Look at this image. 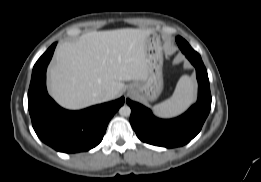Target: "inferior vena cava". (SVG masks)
<instances>
[{
    "mask_svg": "<svg viewBox=\"0 0 261 182\" xmlns=\"http://www.w3.org/2000/svg\"><path fill=\"white\" fill-rule=\"evenodd\" d=\"M110 97H111V93H110V92H106V93H105V98L108 99V98H110Z\"/></svg>",
    "mask_w": 261,
    "mask_h": 182,
    "instance_id": "602c4592",
    "label": "inferior vena cava"
}]
</instances>
